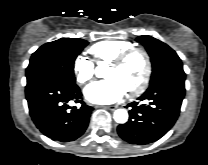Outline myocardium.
Wrapping results in <instances>:
<instances>
[{
	"mask_svg": "<svg viewBox=\"0 0 208 165\" xmlns=\"http://www.w3.org/2000/svg\"><path fill=\"white\" fill-rule=\"evenodd\" d=\"M134 54H141L143 56L145 61V71L140 83L131 90L127 91V95L130 97L137 96L143 93L150 82L152 74V61L148 51L141 47H132L121 52L119 55H117L114 59H112L109 62L110 66L120 67L126 62V60L129 57H131Z\"/></svg>",
	"mask_w": 208,
	"mask_h": 165,
	"instance_id": "f54148a6",
	"label": "myocardium"
}]
</instances>
